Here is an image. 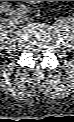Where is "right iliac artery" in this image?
I'll return each instance as SVG.
<instances>
[{
  "label": "right iliac artery",
  "instance_id": "right-iliac-artery-1",
  "mask_svg": "<svg viewBox=\"0 0 74 122\" xmlns=\"http://www.w3.org/2000/svg\"><path fill=\"white\" fill-rule=\"evenodd\" d=\"M1 9L4 11V12H7L10 10V5L7 3V2H4L2 3L1 5Z\"/></svg>",
  "mask_w": 74,
  "mask_h": 122
}]
</instances>
